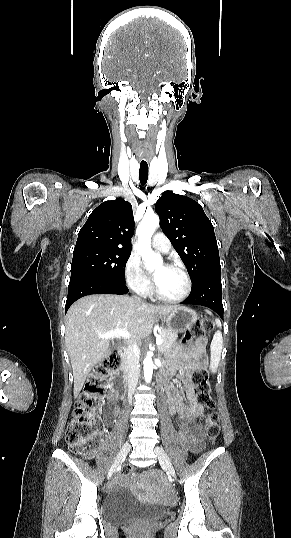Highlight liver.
I'll use <instances>...</instances> for the list:
<instances>
[{"instance_id":"1","label":"liver","mask_w":291,"mask_h":538,"mask_svg":"<svg viewBox=\"0 0 291 538\" xmlns=\"http://www.w3.org/2000/svg\"><path fill=\"white\" fill-rule=\"evenodd\" d=\"M177 306H153L129 296L96 294L83 297L67 312L65 325L66 348L74 377V396L77 397L91 369L111 354L110 339L99 334L125 329L131 339L143 340L152 331L156 314L167 316ZM113 339V338H111Z\"/></svg>"}]
</instances>
